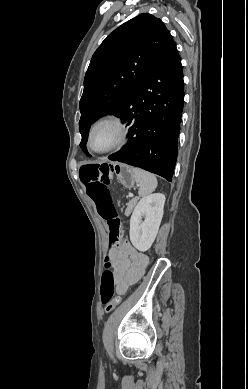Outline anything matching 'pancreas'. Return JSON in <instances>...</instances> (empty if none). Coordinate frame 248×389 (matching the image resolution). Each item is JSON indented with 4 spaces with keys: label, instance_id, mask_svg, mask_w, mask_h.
<instances>
[{
    "label": "pancreas",
    "instance_id": "obj_1",
    "mask_svg": "<svg viewBox=\"0 0 248 389\" xmlns=\"http://www.w3.org/2000/svg\"><path fill=\"white\" fill-rule=\"evenodd\" d=\"M137 200H138V197H135L127 204V208L125 210L126 215H129L132 212Z\"/></svg>",
    "mask_w": 248,
    "mask_h": 389
}]
</instances>
